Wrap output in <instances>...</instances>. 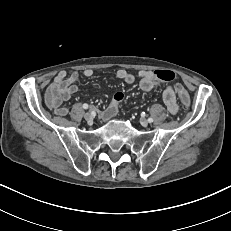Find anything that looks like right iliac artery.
I'll return each mask as SVG.
<instances>
[{
    "label": "right iliac artery",
    "mask_w": 231,
    "mask_h": 231,
    "mask_svg": "<svg viewBox=\"0 0 231 231\" xmlns=\"http://www.w3.org/2000/svg\"><path fill=\"white\" fill-rule=\"evenodd\" d=\"M88 107H89L88 104H86V103L83 104V108H84V109H88Z\"/></svg>",
    "instance_id": "right-iliac-artery-1"
}]
</instances>
